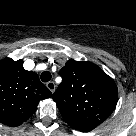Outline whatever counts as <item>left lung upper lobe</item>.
I'll use <instances>...</instances> for the list:
<instances>
[{
	"mask_svg": "<svg viewBox=\"0 0 136 136\" xmlns=\"http://www.w3.org/2000/svg\"><path fill=\"white\" fill-rule=\"evenodd\" d=\"M62 82L53 94L59 111L73 129L88 132L114 111L118 89L97 65L69 60L60 70Z\"/></svg>",
	"mask_w": 136,
	"mask_h": 136,
	"instance_id": "obj_1",
	"label": "left lung upper lobe"
}]
</instances>
